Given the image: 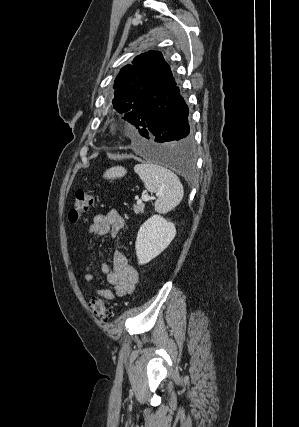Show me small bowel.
<instances>
[{
	"instance_id": "obj_1",
	"label": "small bowel",
	"mask_w": 299,
	"mask_h": 427,
	"mask_svg": "<svg viewBox=\"0 0 299 427\" xmlns=\"http://www.w3.org/2000/svg\"><path fill=\"white\" fill-rule=\"evenodd\" d=\"M124 227V219L116 210H111L106 214L95 215L89 225V232L99 236L110 234L112 237H117ZM112 266V269H110L107 264H103L101 267L108 288H99L95 290L97 296L107 300L126 297L133 291L138 282L137 270L122 252H114ZM93 273V264L90 261H86L84 265V280L85 287L88 289L92 288Z\"/></svg>"
}]
</instances>
